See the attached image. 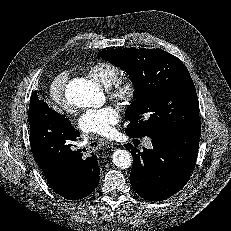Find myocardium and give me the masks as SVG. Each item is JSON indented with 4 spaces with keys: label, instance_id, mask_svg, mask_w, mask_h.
I'll list each match as a JSON object with an SVG mask.
<instances>
[{
    "label": "myocardium",
    "instance_id": "1",
    "mask_svg": "<svg viewBox=\"0 0 231 231\" xmlns=\"http://www.w3.org/2000/svg\"><path fill=\"white\" fill-rule=\"evenodd\" d=\"M107 96L120 106L129 107L137 98L139 84L134 78H124L116 81L107 89Z\"/></svg>",
    "mask_w": 231,
    "mask_h": 231
}]
</instances>
